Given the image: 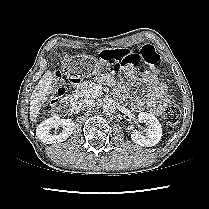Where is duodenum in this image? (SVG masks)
I'll return each mask as SVG.
<instances>
[{"instance_id": "obj_1", "label": "duodenum", "mask_w": 209, "mask_h": 209, "mask_svg": "<svg viewBox=\"0 0 209 209\" xmlns=\"http://www.w3.org/2000/svg\"><path fill=\"white\" fill-rule=\"evenodd\" d=\"M72 82L75 86H80L82 84V81L77 80V79L72 80ZM77 100H78L77 93H72V94H69L65 97L64 103L68 107H74L77 103Z\"/></svg>"}]
</instances>
